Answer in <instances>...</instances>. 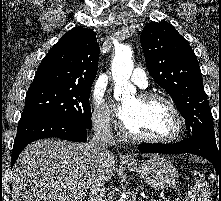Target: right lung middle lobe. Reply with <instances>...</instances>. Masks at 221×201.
Segmentation results:
<instances>
[{
  "instance_id": "obj_1",
  "label": "right lung middle lobe",
  "mask_w": 221,
  "mask_h": 201,
  "mask_svg": "<svg viewBox=\"0 0 221 201\" xmlns=\"http://www.w3.org/2000/svg\"><path fill=\"white\" fill-rule=\"evenodd\" d=\"M89 97L90 89L29 88L21 118L35 115L51 116L92 126Z\"/></svg>"
}]
</instances>
